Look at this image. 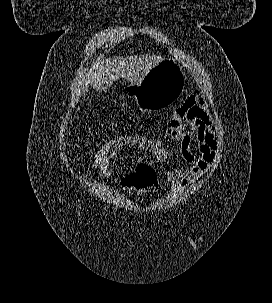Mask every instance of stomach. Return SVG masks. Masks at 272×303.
Returning a JSON list of instances; mask_svg holds the SVG:
<instances>
[{
  "label": "stomach",
  "mask_w": 272,
  "mask_h": 303,
  "mask_svg": "<svg viewBox=\"0 0 272 303\" xmlns=\"http://www.w3.org/2000/svg\"><path fill=\"white\" fill-rule=\"evenodd\" d=\"M185 76L177 61L163 59L139 82L124 88L127 96L133 97L144 110H158L168 106L184 91Z\"/></svg>",
  "instance_id": "0dacf381"
}]
</instances>
